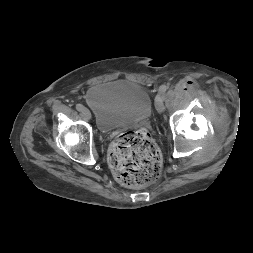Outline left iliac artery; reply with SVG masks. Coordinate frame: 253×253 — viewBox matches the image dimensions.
<instances>
[{
    "label": "left iliac artery",
    "instance_id": "1",
    "mask_svg": "<svg viewBox=\"0 0 253 253\" xmlns=\"http://www.w3.org/2000/svg\"><path fill=\"white\" fill-rule=\"evenodd\" d=\"M166 90H167V86L166 85H161L160 88H159V92L163 93V94L166 92Z\"/></svg>",
    "mask_w": 253,
    "mask_h": 253
}]
</instances>
